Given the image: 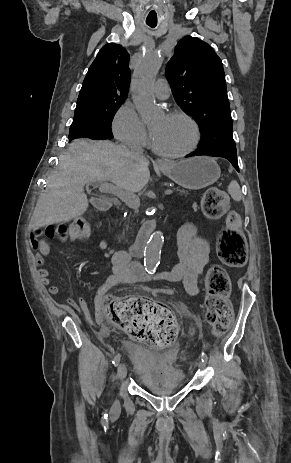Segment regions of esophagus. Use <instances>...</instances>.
<instances>
[{"label": "esophagus", "instance_id": "esophagus-1", "mask_svg": "<svg viewBox=\"0 0 291 463\" xmlns=\"http://www.w3.org/2000/svg\"><path fill=\"white\" fill-rule=\"evenodd\" d=\"M157 163H158L159 165H163V164H165V161H163V160H158Z\"/></svg>", "mask_w": 291, "mask_h": 463}]
</instances>
